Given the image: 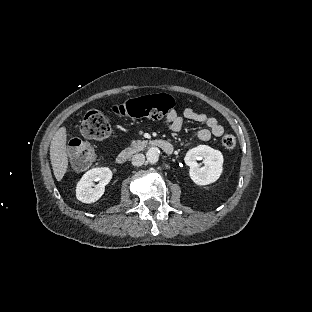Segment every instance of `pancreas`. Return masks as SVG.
Instances as JSON below:
<instances>
[{
	"instance_id": "obj_1",
	"label": "pancreas",
	"mask_w": 312,
	"mask_h": 312,
	"mask_svg": "<svg viewBox=\"0 0 312 312\" xmlns=\"http://www.w3.org/2000/svg\"><path fill=\"white\" fill-rule=\"evenodd\" d=\"M147 144H148L147 140H143V141L135 140V141H132L130 152L131 153L140 152L147 146Z\"/></svg>"
}]
</instances>
